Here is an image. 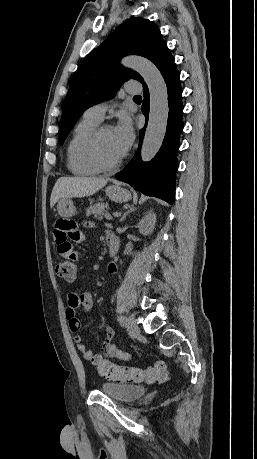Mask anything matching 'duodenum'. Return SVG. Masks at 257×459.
Instances as JSON below:
<instances>
[{
    "instance_id": "obj_1",
    "label": "duodenum",
    "mask_w": 257,
    "mask_h": 459,
    "mask_svg": "<svg viewBox=\"0 0 257 459\" xmlns=\"http://www.w3.org/2000/svg\"><path fill=\"white\" fill-rule=\"evenodd\" d=\"M107 245L110 256H115L118 253L119 242L117 237L111 233H107Z\"/></svg>"
}]
</instances>
